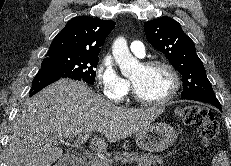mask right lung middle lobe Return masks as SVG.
Instances as JSON below:
<instances>
[{
  "instance_id": "obj_1",
  "label": "right lung middle lobe",
  "mask_w": 231,
  "mask_h": 166,
  "mask_svg": "<svg viewBox=\"0 0 231 166\" xmlns=\"http://www.w3.org/2000/svg\"><path fill=\"white\" fill-rule=\"evenodd\" d=\"M98 56L76 53H47L42 61L41 69H52L81 78L93 84L96 76L94 70L98 64Z\"/></svg>"
}]
</instances>
